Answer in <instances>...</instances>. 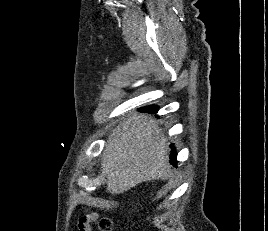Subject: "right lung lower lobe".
I'll return each mask as SVG.
<instances>
[{
    "mask_svg": "<svg viewBox=\"0 0 268 231\" xmlns=\"http://www.w3.org/2000/svg\"><path fill=\"white\" fill-rule=\"evenodd\" d=\"M141 111L143 112H148V113H156L157 111H151V110H148V109H141ZM170 163L176 167V164H177V161H176V151H175V148L172 149V153L170 155Z\"/></svg>",
    "mask_w": 268,
    "mask_h": 231,
    "instance_id": "98d812e1",
    "label": "right lung lower lobe"
}]
</instances>
